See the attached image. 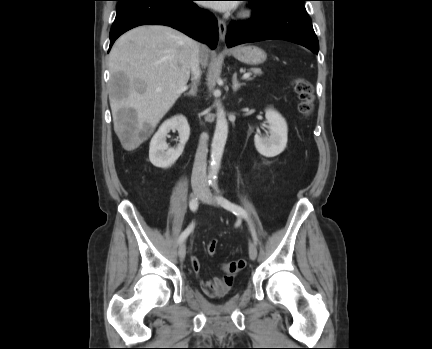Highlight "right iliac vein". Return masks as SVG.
I'll return each mask as SVG.
<instances>
[{
    "label": "right iliac vein",
    "mask_w": 432,
    "mask_h": 349,
    "mask_svg": "<svg viewBox=\"0 0 432 349\" xmlns=\"http://www.w3.org/2000/svg\"><path fill=\"white\" fill-rule=\"evenodd\" d=\"M203 189L201 187H196L193 189V195L195 197H200L203 194ZM178 255L180 259H184L186 256V245L184 242H182L178 249Z\"/></svg>",
    "instance_id": "1"
}]
</instances>
